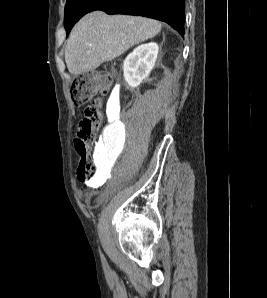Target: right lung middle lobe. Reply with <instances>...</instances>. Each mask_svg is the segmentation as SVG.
Wrapping results in <instances>:
<instances>
[{"mask_svg":"<svg viewBox=\"0 0 267 298\" xmlns=\"http://www.w3.org/2000/svg\"><path fill=\"white\" fill-rule=\"evenodd\" d=\"M98 0H67L65 6L64 26L69 34L73 25L85 14L90 12Z\"/></svg>","mask_w":267,"mask_h":298,"instance_id":"dd1d6c3e","label":"right lung middle lobe"}]
</instances>
